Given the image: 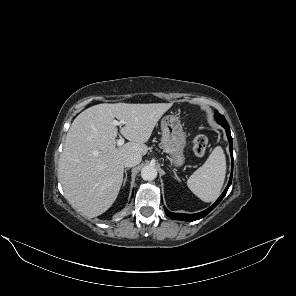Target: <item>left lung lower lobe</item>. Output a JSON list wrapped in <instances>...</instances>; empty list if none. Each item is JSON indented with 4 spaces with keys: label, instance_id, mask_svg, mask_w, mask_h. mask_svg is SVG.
I'll use <instances>...</instances> for the list:
<instances>
[{
    "label": "left lung lower lobe",
    "instance_id": "0a47b994",
    "mask_svg": "<svg viewBox=\"0 0 296 296\" xmlns=\"http://www.w3.org/2000/svg\"><path fill=\"white\" fill-rule=\"evenodd\" d=\"M217 122L225 128L226 133H227V137L229 140V149H230V153H231V157H232V172L230 175L229 183H228L226 189L224 190V192L222 193V195L217 199V201L211 207H209L208 209H206L202 212H199L196 214L172 213L165 208L166 214L169 217H171L172 219L183 220V221H195V220L201 219V218L205 217L210 211H212L220 203V201L223 199V197L227 193V190H228V188L231 184V181H232V174H233V143H232V137H231L230 128H229L228 123L221 122V121H217Z\"/></svg>",
    "mask_w": 296,
    "mask_h": 296
}]
</instances>
